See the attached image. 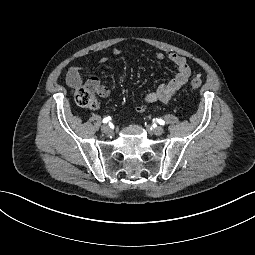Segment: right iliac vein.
Wrapping results in <instances>:
<instances>
[{
    "label": "right iliac vein",
    "instance_id": "63e3f726",
    "mask_svg": "<svg viewBox=\"0 0 255 255\" xmlns=\"http://www.w3.org/2000/svg\"><path fill=\"white\" fill-rule=\"evenodd\" d=\"M101 131L107 135H111L113 133V130L109 125L102 126Z\"/></svg>",
    "mask_w": 255,
    "mask_h": 255
}]
</instances>
